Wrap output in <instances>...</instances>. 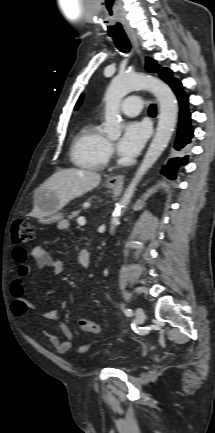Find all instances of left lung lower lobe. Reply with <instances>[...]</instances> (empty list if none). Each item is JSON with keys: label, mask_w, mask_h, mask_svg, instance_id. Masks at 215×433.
Masks as SVG:
<instances>
[{"label": "left lung lower lobe", "mask_w": 215, "mask_h": 433, "mask_svg": "<svg viewBox=\"0 0 215 433\" xmlns=\"http://www.w3.org/2000/svg\"><path fill=\"white\" fill-rule=\"evenodd\" d=\"M175 94L177 95L179 105H180V116H179V124H178V131H177V137L175 139L174 148L177 151H180V154H184V150H182L187 144L191 142V138L193 136V128L190 124L191 114L188 110V96L184 93L182 90L183 86L180 81L173 78L168 83ZM188 155H185L184 157H177L172 158L168 162L167 166L163 167L162 173L168 178V179H175L176 178V172L177 169L185 165L188 159Z\"/></svg>", "instance_id": "obj_1"}]
</instances>
